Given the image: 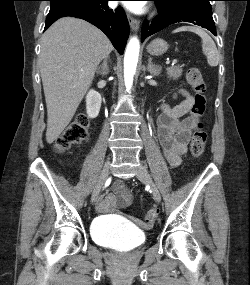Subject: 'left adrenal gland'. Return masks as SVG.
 Here are the masks:
<instances>
[{
  "label": "left adrenal gland",
  "mask_w": 250,
  "mask_h": 285,
  "mask_svg": "<svg viewBox=\"0 0 250 285\" xmlns=\"http://www.w3.org/2000/svg\"><path fill=\"white\" fill-rule=\"evenodd\" d=\"M147 71L154 76L159 75L160 71H161V67L158 65L153 64L152 62V58L149 57L148 58V65H147Z\"/></svg>",
  "instance_id": "a2214340"
}]
</instances>
